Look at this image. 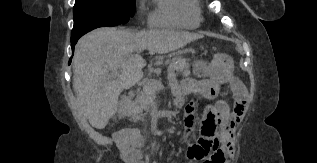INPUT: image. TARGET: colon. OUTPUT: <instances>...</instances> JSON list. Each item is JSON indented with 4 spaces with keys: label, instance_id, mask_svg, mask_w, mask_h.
<instances>
[{
    "label": "colon",
    "instance_id": "colon-1",
    "mask_svg": "<svg viewBox=\"0 0 317 163\" xmlns=\"http://www.w3.org/2000/svg\"><path fill=\"white\" fill-rule=\"evenodd\" d=\"M232 90L235 97V103L240 104L244 100L248 101V94L245 87L238 81L232 83ZM223 103H218L213 107H208L204 110L201 127L205 132H215L218 128L220 116L223 113Z\"/></svg>",
    "mask_w": 317,
    "mask_h": 163
}]
</instances>
